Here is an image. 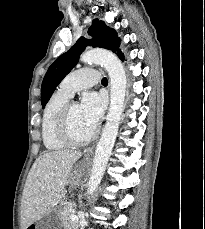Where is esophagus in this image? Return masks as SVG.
<instances>
[{
    "label": "esophagus",
    "instance_id": "1",
    "mask_svg": "<svg viewBox=\"0 0 205 229\" xmlns=\"http://www.w3.org/2000/svg\"><path fill=\"white\" fill-rule=\"evenodd\" d=\"M93 146L92 147H89V148H87L86 150H85V153H86V156L88 157V156H90L91 154H92V152H93Z\"/></svg>",
    "mask_w": 205,
    "mask_h": 229
}]
</instances>
